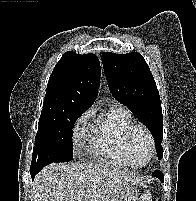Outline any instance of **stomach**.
<instances>
[{
	"instance_id": "0dacf381",
	"label": "stomach",
	"mask_w": 196,
	"mask_h": 201,
	"mask_svg": "<svg viewBox=\"0 0 196 201\" xmlns=\"http://www.w3.org/2000/svg\"><path fill=\"white\" fill-rule=\"evenodd\" d=\"M137 190L133 186L123 188L118 201H138Z\"/></svg>"
}]
</instances>
